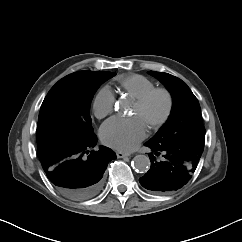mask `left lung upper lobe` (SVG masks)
Masks as SVG:
<instances>
[{
    "label": "left lung upper lobe",
    "instance_id": "obj_1",
    "mask_svg": "<svg viewBox=\"0 0 242 242\" xmlns=\"http://www.w3.org/2000/svg\"><path fill=\"white\" fill-rule=\"evenodd\" d=\"M149 74L165 85L173 99L167 122L149 141L162 146L186 148L202 154L205 128L197 98L181 79L168 73L149 71Z\"/></svg>",
    "mask_w": 242,
    "mask_h": 242
}]
</instances>
